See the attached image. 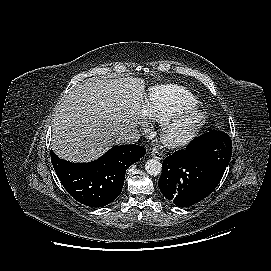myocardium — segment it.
<instances>
[{
	"label": "myocardium",
	"mask_w": 271,
	"mask_h": 271,
	"mask_svg": "<svg viewBox=\"0 0 271 271\" xmlns=\"http://www.w3.org/2000/svg\"><path fill=\"white\" fill-rule=\"evenodd\" d=\"M205 121L206 113L199 106L171 114L161 122V141L168 147L184 146L198 135ZM182 122H188V128L182 133H175L176 127Z\"/></svg>",
	"instance_id": "1"
}]
</instances>
